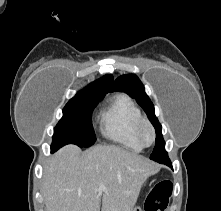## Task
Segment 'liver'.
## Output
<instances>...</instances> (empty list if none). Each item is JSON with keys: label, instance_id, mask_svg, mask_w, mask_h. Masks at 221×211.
I'll use <instances>...</instances> for the list:
<instances>
[{"label": "liver", "instance_id": "6515ba94", "mask_svg": "<svg viewBox=\"0 0 221 211\" xmlns=\"http://www.w3.org/2000/svg\"><path fill=\"white\" fill-rule=\"evenodd\" d=\"M158 167L118 146L98 145L82 152L67 145L44 166L47 211H131L143 181ZM103 183L105 189L100 190Z\"/></svg>", "mask_w": 221, "mask_h": 211}]
</instances>
